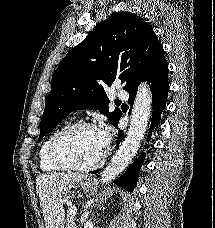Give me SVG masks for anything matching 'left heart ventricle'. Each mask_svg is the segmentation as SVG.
Segmentation results:
<instances>
[{
    "mask_svg": "<svg viewBox=\"0 0 215 228\" xmlns=\"http://www.w3.org/2000/svg\"><path fill=\"white\" fill-rule=\"evenodd\" d=\"M104 150L98 130L81 129L64 139L59 154L67 163L83 166L97 161Z\"/></svg>",
    "mask_w": 215,
    "mask_h": 228,
    "instance_id": "obj_1",
    "label": "left heart ventricle"
}]
</instances>
